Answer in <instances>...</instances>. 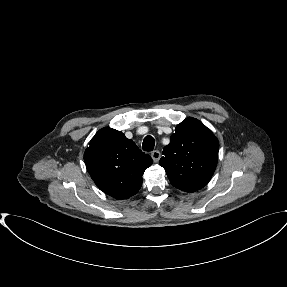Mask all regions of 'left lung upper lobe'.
<instances>
[{"mask_svg": "<svg viewBox=\"0 0 287 287\" xmlns=\"http://www.w3.org/2000/svg\"><path fill=\"white\" fill-rule=\"evenodd\" d=\"M218 151L219 142L214 134L202 122L189 117L177 125L159 164L174 187L195 192L210 181Z\"/></svg>", "mask_w": 287, "mask_h": 287, "instance_id": "obj_1", "label": "left lung upper lobe"}]
</instances>
